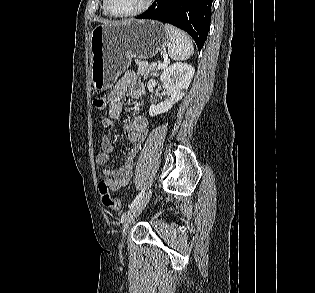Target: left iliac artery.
<instances>
[{
  "label": "left iliac artery",
  "mask_w": 315,
  "mask_h": 293,
  "mask_svg": "<svg viewBox=\"0 0 315 293\" xmlns=\"http://www.w3.org/2000/svg\"><path fill=\"white\" fill-rule=\"evenodd\" d=\"M144 193H145V188H143L142 191L136 196L133 202L129 205V208L134 207L143 198Z\"/></svg>",
  "instance_id": "left-iliac-artery-1"
}]
</instances>
